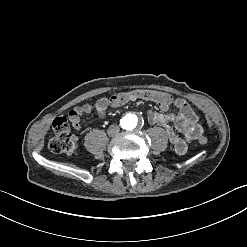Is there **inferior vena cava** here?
I'll use <instances>...</instances> for the list:
<instances>
[{
  "instance_id": "inferior-vena-cava-1",
  "label": "inferior vena cava",
  "mask_w": 247,
  "mask_h": 247,
  "mask_svg": "<svg viewBox=\"0 0 247 247\" xmlns=\"http://www.w3.org/2000/svg\"><path fill=\"white\" fill-rule=\"evenodd\" d=\"M120 128L118 125H111L108 129V135L114 137L119 134Z\"/></svg>"
}]
</instances>
